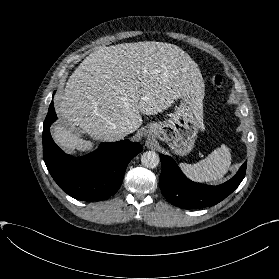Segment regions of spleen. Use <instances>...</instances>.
I'll list each match as a JSON object with an SVG mask.
<instances>
[{"instance_id": "spleen-1", "label": "spleen", "mask_w": 279, "mask_h": 279, "mask_svg": "<svg viewBox=\"0 0 279 279\" xmlns=\"http://www.w3.org/2000/svg\"><path fill=\"white\" fill-rule=\"evenodd\" d=\"M231 159L230 149L223 144L195 164L180 163V168L192 181L215 182L222 179L228 172Z\"/></svg>"}]
</instances>
